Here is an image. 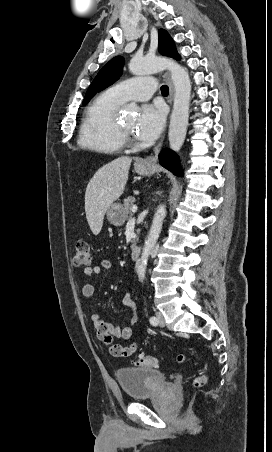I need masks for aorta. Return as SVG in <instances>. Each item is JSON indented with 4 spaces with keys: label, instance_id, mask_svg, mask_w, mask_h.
Returning <instances> with one entry per match:
<instances>
[{
    "label": "aorta",
    "instance_id": "obj_1",
    "mask_svg": "<svg viewBox=\"0 0 272 452\" xmlns=\"http://www.w3.org/2000/svg\"><path fill=\"white\" fill-rule=\"evenodd\" d=\"M165 69L169 70L171 73V79L175 90L168 133L169 144L172 150L178 152L186 137L189 118L191 81L188 71L176 61L164 57H134L129 63V70L134 75L151 74ZM165 216L166 207L164 204H161L154 214L150 231L145 240L141 256L137 262V273L141 282L145 279L147 262L161 233Z\"/></svg>",
    "mask_w": 272,
    "mask_h": 452
}]
</instances>
